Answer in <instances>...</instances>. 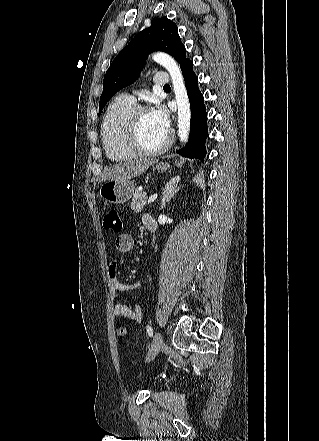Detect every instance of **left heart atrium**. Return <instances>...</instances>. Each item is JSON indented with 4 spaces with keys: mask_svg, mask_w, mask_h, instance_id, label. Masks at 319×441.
Masks as SVG:
<instances>
[{
    "mask_svg": "<svg viewBox=\"0 0 319 441\" xmlns=\"http://www.w3.org/2000/svg\"><path fill=\"white\" fill-rule=\"evenodd\" d=\"M152 117L156 121V123L165 131L169 130V116L164 108L161 106H157L151 112Z\"/></svg>",
    "mask_w": 319,
    "mask_h": 441,
    "instance_id": "left-heart-atrium-1",
    "label": "left heart atrium"
}]
</instances>
